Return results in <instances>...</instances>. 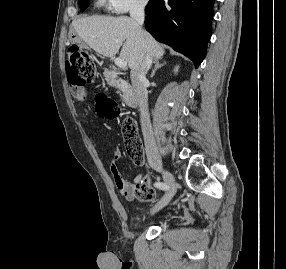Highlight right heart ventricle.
Wrapping results in <instances>:
<instances>
[{
	"instance_id": "right-heart-ventricle-1",
	"label": "right heart ventricle",
	"mask_w": 286,
	"mask_h": 269,
	"mask_svg": "<svg viewBox=\"0 0 286 269\" xmlns=\"http://www.w3.org/2000/svg\"><path fill=\"white\" fill-rule=\"evenodd\" d=\"M105 2V0H98L97 4L102 5Z\"/></svg>"
}]
</instances>
